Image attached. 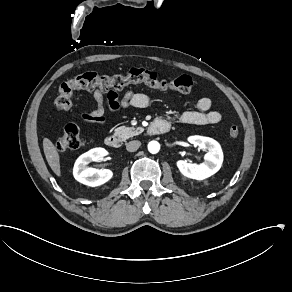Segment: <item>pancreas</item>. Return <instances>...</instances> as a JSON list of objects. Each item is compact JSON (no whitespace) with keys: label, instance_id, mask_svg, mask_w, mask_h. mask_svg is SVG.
Instances as JSON below:
<instances>
[{"label":"pancreas","instance_id":"cf45deb5","mask_svg":"<svg viewBox=\"0 0 292 292\" xmlns=\"http://www.w3.org/2000/svg\"><path fill=\"white\" fill-rule=\"evenodd\" d=\"M143 132V128H134V127H125L121 126L115 129V135L118 136L121 140H126L130 137L140 134Z\"/></svg>","mask_w":292,"mask_h":292}]
</instances>
